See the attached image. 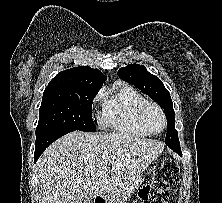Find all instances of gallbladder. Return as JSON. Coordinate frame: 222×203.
<instances>
[{
  "label": "gallbladder",
  "mask_w": 222,
  "mask_h": 203,
  "mask_svg": "<svg viewBox=\"0 0 222 203\" xmlns=\"http://www.w3.org/2000/svg\"><path fill=\"white\" fill-rule=\"evenodd\" d=\"M80 203H91V201L89 199H84Z\"/></svg>",
  "instance_id": "bac80fb5"
}]
</instances>
